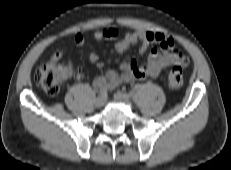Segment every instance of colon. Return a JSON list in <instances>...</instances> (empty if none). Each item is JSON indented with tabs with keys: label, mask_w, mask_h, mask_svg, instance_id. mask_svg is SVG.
Returning a JSON list of instances; mask_svg holds the SVG:
<instances>
[{
	"label": "colon",
	"mask_w": 231,
	"mask_h": 170,
	"mask_svg": "<svg viewBox=\"0 0 231 170\" xmlns=\"http://www.w3.org/2000/svg\"><path fill=\"white\" fill-rule=\"evenodd\" d=\"M77 75L79 72L76 73ZM72 76L65 65L48 61L41 65L35 72L34 79L39 87L47 94L55 96L59 93L61 84ZM168 86L178 90L183 85V71L180 66L173 67L168 73Z\"/></svg>",
	"instance_id": "obj_1"
}]
</instances>
